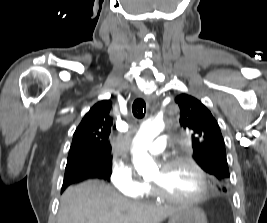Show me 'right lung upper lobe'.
I'll list each match as a JSON object with an SVG mask.
<instances>
[{
  "label": "right lung upper lobe",
  "mask_w": 267,
  "mask_h": 223,
  "mask_svg": "<svg viewBox=\"0 0 267 223\" xmlns=\"http://www.w3.org/2000/svg\"><path fill=\"white\" fill-rule=\"evenodd\" d=\"M111 106L110 100L100 101L84 116L73 135L67 163L96 160L97 168L104 169L102 161L111 158L108 142L112 128Z\"/></svg>",
  "instance_id": "cb5924a9"
}]
</instances>
